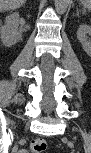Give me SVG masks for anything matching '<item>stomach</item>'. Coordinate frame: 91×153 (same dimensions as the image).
<instances>
[{
    "label": "stomach",
    "mask_w": 91,
    "mask_h": 153,
    "mask_svg": "<svg viewBox=\"0 0 91 153\" xmlns=\"http://www.w3.org/2000/svg\"><path fill=\"white\" fill-rule=\"evenodd\" d=\"M90 2H91L90 0H86V1H83V4L86 5V6H89Z\"/></svg>",
    "instance_id": "obj_1"
}]
</instances>
